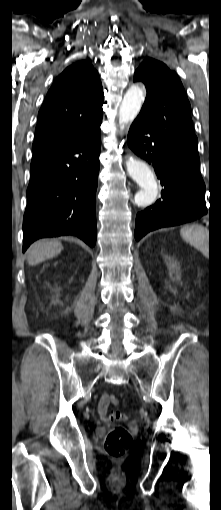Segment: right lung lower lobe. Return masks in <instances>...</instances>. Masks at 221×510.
Masks as SVG:
<instances>
[{"label": "right lung lower lobe", "mask_w": 221, "mask_h": 510, "mask_svg": "<svg viewBox=\"0 0 221 510\" xmlns=\"http://www.w3.org/2000/svg\"><path fill=\"white\" fill-rule=\"evenodd\" d=\"M101 122L63 142L33 151L23 252L37 239L74 235L96 243V189Z\"/></svg>", "instance_id": "right-lung-lower-lobe-1"}]
</instances>
